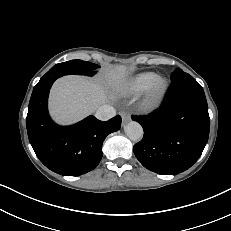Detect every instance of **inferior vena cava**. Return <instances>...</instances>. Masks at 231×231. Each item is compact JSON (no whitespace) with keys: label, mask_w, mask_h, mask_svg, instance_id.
I'll return each mask as SVG.
<instances>
[{"label":"inferior vena cava","mask_w":231,"mask_h":231,"mask_svg":"<svg viewBox=\"0 0 231 231\" xmlns=\"http://www.w3.org/2000/svg\"><path fill=\"white\" fill-rule=\"evenodd\" d=\"M116 115V110L107 104L101 105L96 113L95 117L99 120L106 121L113 118Z\"/></svg>","instance_id":"1"}]
</instances>
